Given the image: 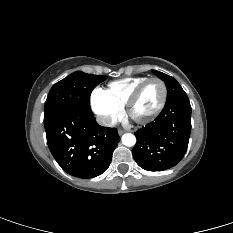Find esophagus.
Masks as SVG:
<instances>
[{"label": "esophagus", "instance_id": "esophagus-1", "mask_svg": "<svg viewBox=\"0 0 233 233\" xmlns=\"http://www.w3.org/2000/svg\"><path fill=\"white\" fill-rule=\"evenodd\" d=\"M123 133H124V130H122V129H119V130H118V134H119V135H122Z\"/></svg>", "mask_w": 233, "mask_h": 233}]
</instances>
